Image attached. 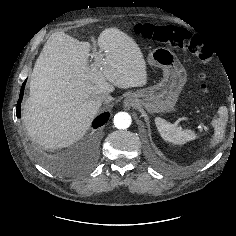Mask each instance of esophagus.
Segmentation results:
<instances>
[{
  "instance_id": "1",
  "label": "esophagus",
  "mask_w": 236,
  "mask_h": 236,
  "mask_svg": "<svg viewBox=\"0 0 236 236\" xmlns=\"http://www.w3.org/2000/svg\"><path fill=\"white\" fill-rule=\"evenodd\" d=\"M133 105H134V102H133V100L131 98H127L124 101V108L125 109H130Z\"/></svg>"
}]
</instances>
